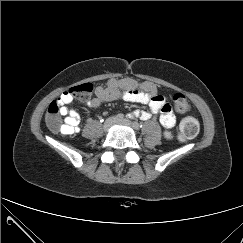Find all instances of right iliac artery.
I'll use <instances>...</instances> for the list:
<instances>
[{
	"label": "right iliac artery",
	"mask_w": 243,
	"mask_h": 243,
	"mask_svg": "<svg viewBox=\"0 0 243 243\" xmlns=\"http://www.w3.org/2000/svg\"><path fill=\"white\" fill-rule=\"evenodd\" d=\"M123 118H124V115L122 113H119V114L116 115L117 120H121Z\"/></svg>",
	"instance_id": "right-iliac-artery-1"
}]
</instances>
